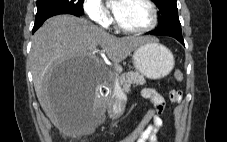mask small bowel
Segmentation results:
<instances>
[{"mask_svg":"<svg viewBox=\"0 0 227 142\" xmlns=\"http://www.w3.org/2000/svg\"><path fill=\"white\" fill-rule=\"evenodd\" d=\"M142 96L153 103L154 107L157 109L158 115L138 142H157V133L163 124L161 115L165 109V100L162 95L153 88L143 89ZM169 99L172 102H180L182 100V92L179 90L170 91Z\"/></svg>","mask_w":227,"mask_h":142,"instance_id":"obj_1","label":"small bowel"}]
</instances>
